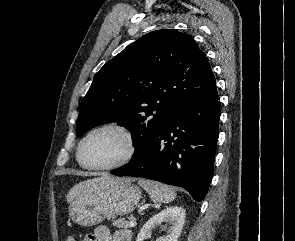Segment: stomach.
<instances>
[{"instance_id":"obj_1","label":"stomach","mask_w":295,"mask_h":241,"mask_svg":"<svg viewBox=\"0 0 295 241\" xmlns=\"http://www.w3.org/2000/svg\"><path fill=\"white\" fill-rule=\"evenodd\" d=\"M141 195L138 186L127 179H119L76 196L70 203L69 216L81 226H94L106 218L132 212Z\"/></svg>"}]
</instances>
